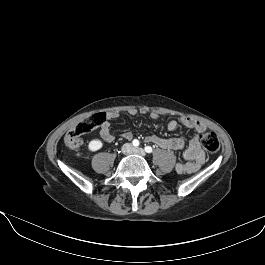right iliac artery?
<instances>
[{
  "instance_id": "82829eb1",
  "label": "right iliac artery",
  "mask_w": 265,
  "mask_h": 265,
  "mask_svg": "<svg viewBox=\"0 0 265 265\" xmlns=\"http://www.w3.org/2000/svg\"><path fill=\"white\" fill-rule=\"evenodd\" d=\"M132 144H133V146L137 147V146H139L140 142L137 139H134L132 141Z\"/></svg>"
}]
</instances>
